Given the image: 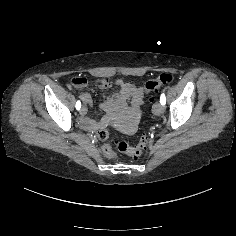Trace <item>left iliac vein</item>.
<instances>
[{
  "label": "left iliac vein",
  "mask_w": 236,
  "mask_h": 236,
  "mask_svg": "<svg viewBox=\"0 0 236 236\" xmlns=\"http://www.w3.org/2000/svg\"><path fill=\"white\" fill-rule=\"evenodd\" d=\"M164 110H165V107H164L161 103L155 104V105L153 106V111H154L156 114H161V113L164 112Z\"/></svg>",
  "instance_id": "1"
}]
</instances>
